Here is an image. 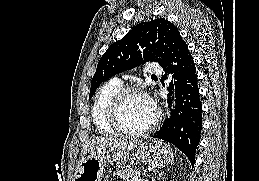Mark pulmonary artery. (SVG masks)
<instances>
[{
  "label": "pulmonary artery",
  "instance_id": "pulmonary-artery-1",
  "mask_svg": "<svg viewBox=\"0 0 259 181\" xmlns=\"http://www.w3.org/2000/svg\"><path fill=\"white\" fill-rule=\"evenodd\" d=\"M148 72L151 74H159L162 72V68L156 64H150L148 67ZM114 82L121 84V81L117 78L113 79Z\"/></svg>",
  "mask_w": 259,
  "mask_h": 181
}]
</instances>
